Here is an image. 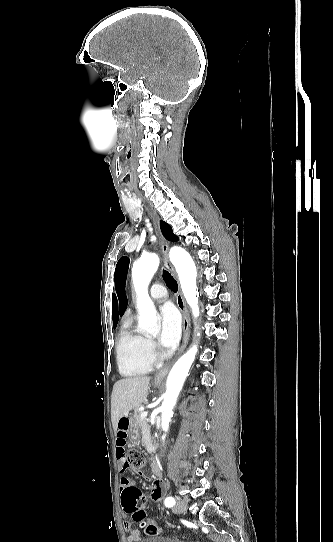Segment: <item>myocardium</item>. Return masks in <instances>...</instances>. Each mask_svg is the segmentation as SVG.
Segmentation results:
<instances>
[{"mask_svg":"<svg viewBox=\"0 0 333 542\" xmlns=\"http://www.w3.org/2000/svg\"><path fill=\"white\" fill-rule=\"evenodd\" d=\"M149 342V353L154 361L162 362L170 358V354L164 353L160 350L159 346L153 340Z\"/></svg>","mask_w":333,"mask_h":542,"instance_id":"myocardium-1","label":"myocardium"}]
</instances>
